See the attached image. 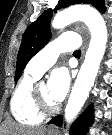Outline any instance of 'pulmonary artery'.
I'll list each match as a JSON object with an SVG mask.
<instances>
[{"mask_svg": "<svg viewBox=\"0 0 112 135\" xmlns=\"http://www.w3.org/2000/svg\"><path fill=\"white\" fill-rule=\"evenodd\" d=\"M80 46L77 33H65L48 43L27 65L26 72L40 77L57 60L60 53L74 51Z\"/></svg>", "mask_w": 112, "mask_h": 135, "instance_id": "pulmonary-artery-1", "label": "pulmonary artery"}]
</instances>
